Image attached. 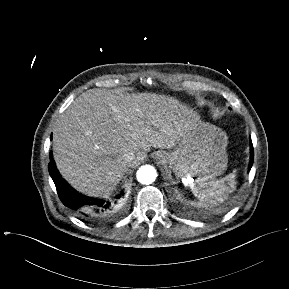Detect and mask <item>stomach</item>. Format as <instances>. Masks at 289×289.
<instances>
[{"mask_svg": "<svg viewBox=\"0 0 289 289\" xmlns=\"http://www.w3.org/2000/svg\"><path fill=\"white\" fill-rule=\"evenodd\" d=\"M227 141L224 131L194 113L177 147L166 153L167 163L177 177L214 179L227 168Z\"/></svg>", "mask_w": 289, "mask_h": 289, "instance_id": "obj_1", "label": "stomach"}]
</instances>
